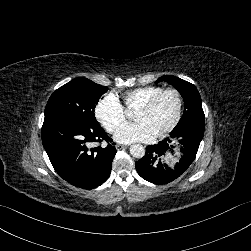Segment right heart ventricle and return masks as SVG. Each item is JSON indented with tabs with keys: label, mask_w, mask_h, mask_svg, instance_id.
Segmentation results:
<instances>
[{
	"label": "right heart ventricle",
	"mask_w": 251,
	"mask_h": 251,
	"mask_svg": "<svg viewBox=\"0 0 251 251\" xmlns=\"http://www.w3.org/2000/svg\"><path fill=\"white\" fill-rule=\"evenodd\" d=\"M163 89L164 87L158 85H148L132 89L125 93V103L129 108H139Z\"/></svg>",
	"instance_id": "right-heart-ventricle-1"
}]
</instances>
